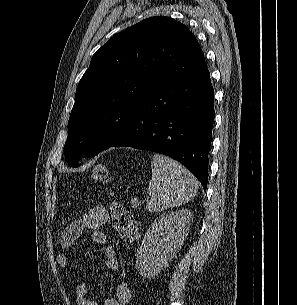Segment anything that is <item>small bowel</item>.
<instances>
[{"mask_svg": "<svg viewBox=\"0 0 297 305\" xmlns=\"http://www.w3.org/2000/svg\"><path fill=\"white\" fill-rule=\"evenodd\" d=\"M110 220V213L103 205H95L90 208L77 221L67 226L59 238V254L57 262L60 267H66L68 254L76 240L82 235L84 230L92 232V240L103 246V265L108 269H116L118 266L117 256L114 248L108 245L107 238L102 232V227ZM89 289L85 283L76 286V294L79 305H99L95 300L89 298ZM132 299L131 286L126 282H121L116 286L115 295L105 301L104 305H127Z\"/></svg>", "mask_w": 297, "mask_h": 305, "instance_id": "c3829d8e", "label": "small bowel"}]
</instances>
